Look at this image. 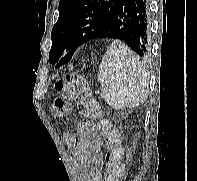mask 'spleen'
I'll use <instances>...</instances> for the list:
<instances>
[{
    "instance_id": "3e777b00",
    "label": "spleen",
    "mask_w": 197,
    "mask_h": 181,
    "mask_svg": "<svg viewBox=\"0 0 197 181\" xmlns=\"http://www.w3.org/2000/svg\"><path fill=\"white\" fill-rule=\"evenodd\" d=\"M101 98L114 109L135 107L149 94L148 72L138 57L120 41L107 49L98 71Z\"/></svg>"
}]
</instances>
